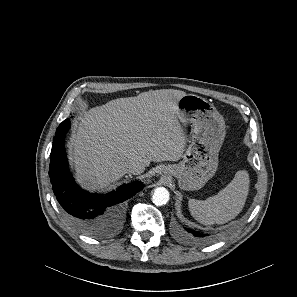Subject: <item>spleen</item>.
<instances>
[{
  "mask_svg": "<svg viewBox=\"0 0 297 297\" xmlns=\"http://www.w3.org/2000/svg\"><path fill=\"white\" fill-rule=\"evenodd\" d=\"M249 187L248 172L240 170L217 195L206 200L190 199L188 206L191 215L204 225L226 223L242 211L249 194Z\"/></svg>",
  "mask_w": 297,
  "mask_h": 297,
  "instance_id": "3e777b00",
  "label": "spleen"
}]
</instances>
